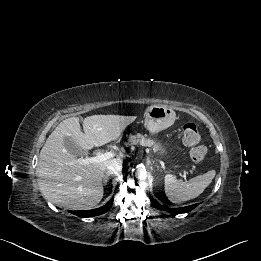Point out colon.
Wrapping results in <instances>:
<instances>
[{
  "label": "colon",
  "mask_w": 261,
  "mask_h": 261,
  "mask_svg": "<svg viewBox=\"0 0 261 261\" xmlns=\"http://www.w3.org/2000/svg\"><path fill=\"white\" fill-rule=\"evenodd\" d=\"M183 141L191 148V160L196 164L203 162L207 151L206 148L201 144V135L196 124L186 123L183 126Z\"/></svg>",
  "instance_id": "colon-1"
}]
</instances>
